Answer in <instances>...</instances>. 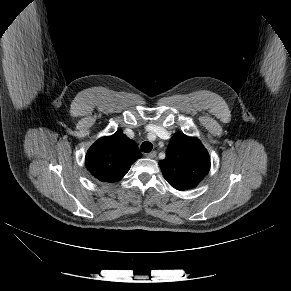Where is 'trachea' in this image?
<instances>
[{
  "label": "trachea",
  "instance_id": "obj_1",
  "mask_svg": "<svg viewBox=\"0 0 291 291\" xmlns=\"http://www.w3.org/2000/svg\"><path fill=\"white\" fill-rule=\"evenodd\" d=\"M152 148H153L152 143L147 141L143 142L140 146V150L144 153H149L152 150Z\"/></svg>",
  "mask_w": 291,
  "mask_h": 291
}]
</instances>
